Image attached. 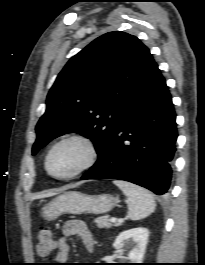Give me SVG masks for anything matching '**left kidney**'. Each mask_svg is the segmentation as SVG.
Listing matches in <instances>:
<instances>
[{
  "instance_id": "left-kidney-1",
  "label": "left kidney",
  "mask_w": 205,
  "mask_h": 265,
  "mask_svg": "<svg viewBox=\"0 0 205 265\" xmlns=\"http://www.w3.org/2000/svg\"><path fill=\"white\" fill-rule=\"evenodd\" d=\"M149 231L146 228L138 227L121 232L113 246L119 248L124 242H129L133 248L128 253L131 262H142L147 246Z\"/></svg>"
}]
</instances>
